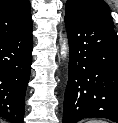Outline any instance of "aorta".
Wrapping results in <instances>:
<instances>
[{"mask_svg": "<svg viewBox=\"0 0 118 123\" xmlns=\"http://www.w3.org/2000/svg\"><path fill=\"white\" fill-rule=\"evenodd\" d=\"M67 53H68V44H67V41L64 39L63 40V43L61 45V51H60V54L63 58H66L67 56Z\"/></svg>", "mask_w": 118, "mask_h": 123, "instance_id": "1", "label": "aorta"}]
</instances>
